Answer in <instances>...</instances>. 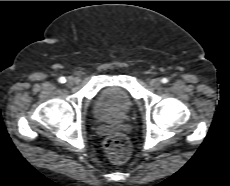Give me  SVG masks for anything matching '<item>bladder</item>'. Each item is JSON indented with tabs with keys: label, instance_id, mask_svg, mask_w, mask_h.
<instances>
[{
	"label": "bladder",
	"instance_id": "1",
	"mask_svg": "<svg viewBox=\"0 0 230 186\" xmlns=\"http://www.w3.org/2000/svg\"><path fill=\"white\" fill-rule=\"evenodd\" d=\"M133 99L130 93L119 87L104 89L96 98L93 112L99 119H124L133 108Z\"/></svg>",
	"mask_w": 230,
	"mask_h": 186
}]
</instances>
